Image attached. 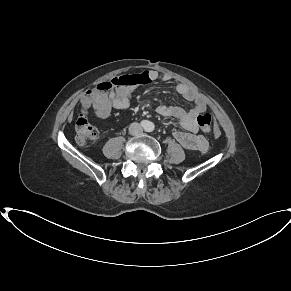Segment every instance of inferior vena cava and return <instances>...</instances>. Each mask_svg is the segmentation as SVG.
Returning <instances> with one entry per match:
<instances>
[{
  "instance_id": "1",
  "label": "inferior vena cava",
  "mask_w": 291,
  "mask_h": 291,
  "mask_svg": "<svg viewBox=\"0 0 291 291\" xmlns=\"http://www.w3.org/2000/svg\"><path fill=\"white\" fill-rule=\"evenodd\" d=\"M129 132L131 135L138 136L142 134L143 128L139 123L134 122L130 125Z\"/></svg>"
}]
</instances>
